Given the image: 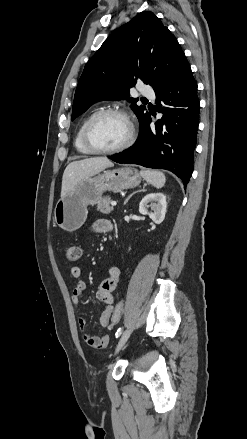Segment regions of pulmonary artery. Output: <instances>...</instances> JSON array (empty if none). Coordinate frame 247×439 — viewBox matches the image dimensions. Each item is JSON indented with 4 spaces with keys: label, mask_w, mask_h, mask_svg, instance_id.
Listing matches in <instances>:
<instances>
[{
    "label": "pulmonary artery",
    "mask_w": 247,
    "mask_h": 439,
    "mask_svg": "<svg viewBox=\"0 0 247 439\" xmlns=\"http://www.w3.org/2000/svg\"><path fill=\"white\" fill-rule=\"evenodd\" d=\"M139 91L142 95L153 97L154 93L150 86L145 84H140Z\"/></svg>",
    "instance_id": "e3ab8cb5"
}]
</instances>
